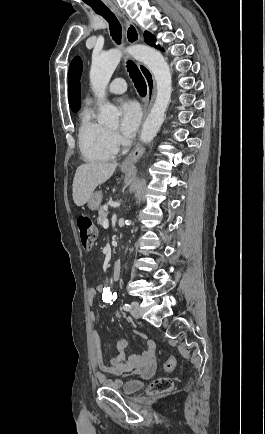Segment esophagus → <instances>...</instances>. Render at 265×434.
Segmentation results:
<instances>
[{"label": "esophagus", "instance_id": "esophagus-1", "mask_svg": "<svg viewBox=\"0 0 265 434\" xmlns=\"http://www.w3.org/2000/svg\"><path fill=\"white\" fill-rule=\"evenodd\" d=\"M110 5L120 16H122L121 13L111 3ZM126 40L130 45H134L140 40V34L136 26L128 20L126 21ZM139 68L147 85V95L145 97V102L143 106V118L141 122L142 127L155 100L156 84L152 72L149 70L148 67H146V65H144L143 63H139ZM144 151L145 148L143 147V145L138 143L123 160L121 167H131L135 162H137V160L142 157Z\"/></svg>", "mask_w": 265, "mask_h": 434}]
</instances>
